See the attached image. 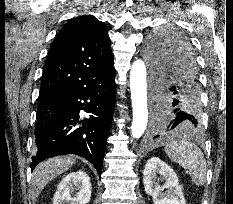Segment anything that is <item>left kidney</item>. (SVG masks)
Masks as SVG:
<instances>
[{
    "label": "left kidney",
    "mask_w": 233,
    "mask_h": 204,
    "mask_svg": "<svg viewBox=\"0 0 233 204\" xmlns=\"http://www.w3.org/2000/svg\"><path fill=\"white\" fill-rule=\"evenodd\" d=\"M163 182L164 185H160ZM145 192L154 204H186L178 177L174 170L157 157L149 159L143 171Z\"/></svg>",
    "instance_id": "obj_1"
}]
</instances>
